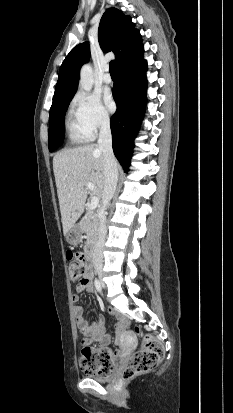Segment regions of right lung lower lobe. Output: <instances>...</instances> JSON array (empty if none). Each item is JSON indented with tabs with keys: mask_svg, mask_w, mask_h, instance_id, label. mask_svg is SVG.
<instances>
[{
	"mask_svg": "<svg viewBox=\"0 0 233 413\" xmlns=\"http://www.w3.org/2000/svg\"><path fill=\"white\" fill-rule=\"evenodd\" d=\"M143 51L141 45L117 65L118 82L113 85V97L118 108L110 121L113 151L126 172L146 104L147 62L143 59Z\"/></svg>",
	"mask_w": 233,
	"mask_h": 413,
	"instance_id": "98d812e1",
	"label": "right lung lower lobe"
}]
</instances>
